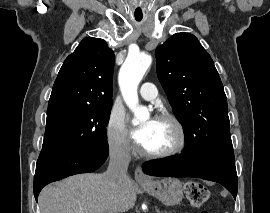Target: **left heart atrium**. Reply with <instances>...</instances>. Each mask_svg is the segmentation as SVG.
<instances>
[{
    "instance_id": "39dd6f15",
    "label": "left heart atrium",
    "mask_w": 270,
    "mask_h": 213,
    "mask_svg": "<svg viewBox=\"0 0 270 213\" xmlns=\"http://www.w3.org/2000/svg\"><path fill=\"white\" fill-rule=\"evenodd\" d=\"M154 121V119H151L142 126L133 130L132 138L138 145L143 146L145 144Z\"/></svg>"
}]
</instances>
